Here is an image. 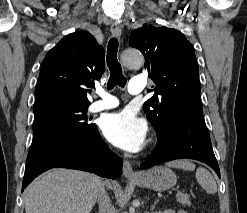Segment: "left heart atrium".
<instances>
[{
    "mask_svg": "<svg viewBox=\"0 0 247 213\" xmlns=\"http://www.w3.org/2000/svg\"><path fill=\"white\" fill-rule=\"evenodd\" d=\"M100 128L110 143L123 150L138 152L145 145L147 124L130 110L105 115Z\"/></svg>",
    "mask_w": 247,
    "mask_h": 213,
    "instance_id": "left-heart-atrium-1",
    "label": "left heart atrium"
}]
</instances>
